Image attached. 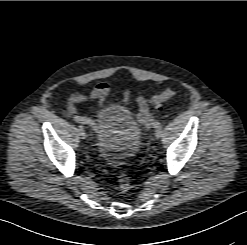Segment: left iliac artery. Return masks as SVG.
<instances>
[{
    "instance_id": "obj_1",
    "label": "left iliac artery",
    "mask_w": 247,
    "mask_h": 245,
    "mask_svg": "<svg viewBox=\"0 0 247 245\" xmlns=\"http://www.w3.org/2000/svg\"><path fill=\"white\" fill-rule=\"evenodd\" d=\"M153 126H154L155 128H162V125H161L160 122H158V121L154 122V123H153Z\"/></svg>"
}]
</instances>
